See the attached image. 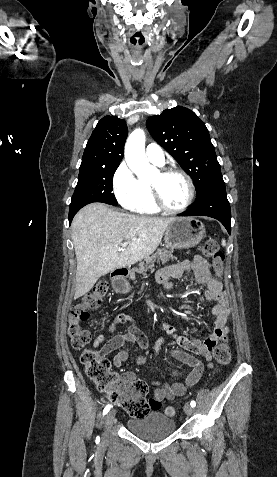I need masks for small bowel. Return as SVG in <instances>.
Segmentation results:
<instances>
[{
	"label": "small bowel",
	"instance_id": "obj_1",
	"mask_svg": "<svg viewBox=\"0 0 277 477\" xmlns=\"http://www.w3.org/2000/svg\"><path fill=\"white\" fill-rule=\"evenodd\" d=\"M192 270L195 275L197 284L205 286V297L213 302H216L212 309V315L215 317L214 327L211 333L204 336L203 340L196 336H183L175 332V329L168 323L162 322V328L166 334L173 336L179 348L173 349L170 355L177 361L188 365L192 368L184 382L174 383H159L154 381L156 389L153 393V399L161 402L164 399H174L175 397L183 396L189 387L195 385L204 371V364L194 354L203 356L207 361V368H212L210 362L212 359V351L219 341H224L228 333L227 323L229 320L230 309L228 305L227 294L223 290L222 282L216 274L213 273L210 264L201 256H195L192 261H182L175 264L162 267L157 273V279L166 287H170L172 280L181 277L185 272ZM200 298L184 304L183 308H192L198 305ZM130 323L128 331L123 334H116L105 341L103 334L98 335L93 343L96 349L102 345L99 353L101 355H108L113 351L119 350L126 342L135 344L140 349H147L149 346L148 339L141 331L132 323V319L125 314H119L111 322L108 327V333L115 332L119 324ZM164 341L160 337L154 345V358L158 357L161 345ZM129 358V352L120 350L113 357V364L115 367H121ZM147 362L146 356H139L136 359L138 365ZM169 374L173 377L178 376L176 369H169ZM136 380L133 373L127 372L122 375V383H128Z\"/></svg>",
	"mask_w": 277,
	"mask_h": 477
}]
</instances>
